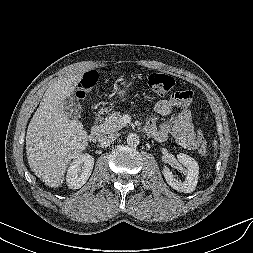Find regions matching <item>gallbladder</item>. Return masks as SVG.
I'll list each match as a JSON object with an SVG mask.
<instances>
[{
    "mask_svg": "<svg viewBox=\"0 0 253 253\" xmlns=\"http://www.w3.org/2000/svg\"><path fill=\"white\" fill-rule=\"evenodd\" d=\"M66 114L71 119H79L81 117L82 108L78 100L72 96L67 97L63 101Z\"/></svg>",
    "mask_w": 253,
    "mask_h": 253,
    "instance_id": "bac80fb5",
    "label": "gallbladder"
}]
</instances>
